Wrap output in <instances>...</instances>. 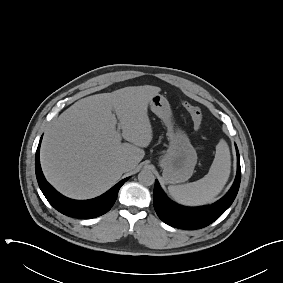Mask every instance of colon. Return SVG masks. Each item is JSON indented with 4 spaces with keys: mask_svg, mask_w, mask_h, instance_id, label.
<instances>
[{
    "mask_svg": "<svg viewBox=\"0 0 283 283\" xmlns=\"http://www.w3.org/2000/svg\"><path fill=\"white\" fill-rule=\"evenodd\" d=\"M183 106L184 108L187 110V112L189 113L192 121H193V125L194 128L196 130H200L201 126H202V122H203V114L202 111L199 107L184 101L183 102Z\"/></svg>",
    "mask_w": 283,
    "mask_h": 283,
    "instance_id": "obj_1",
    "label": "colon"
}]
</instances>
